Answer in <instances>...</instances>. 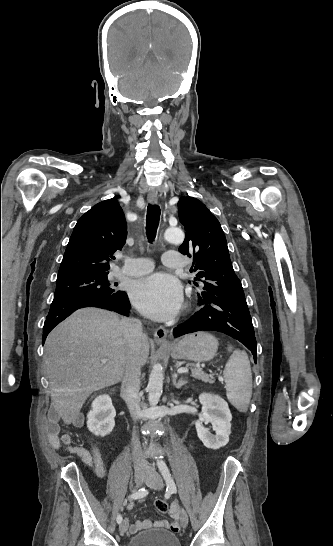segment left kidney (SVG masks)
Returning <instances> with one entry per match:
<instances>
[{"label": "left kidney", "mask_w": 333, "mask_h": 546, "mask_svg": "<svg viewBox=\"0 0 333 546\" xmlns=\"http://www.w3.org/2000/svg\"><path fill=\"white\" fill-rule=\"evenodd\" d=\"M199 401L202 404V414L195 423L198 438L209 449L224 447L229 442L231 433L232 415L228 403L219 395L210 393L200 394ZM202 422H211L215 435Z\"/></svg>", "instance_id": "1"}]
</instances>
